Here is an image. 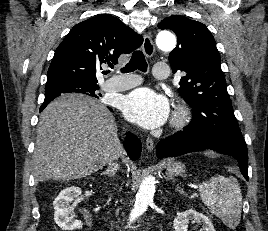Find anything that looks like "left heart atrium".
<instances>
[{
    "label": "left heart atrium",
    "instance_id": "1",
    "mask_svg": "<svg viewBox=\"0 0 268 231\" xmlns=\"http://www.w3.org/2000/svg\"><path fill=\"white\" fill-rule=\"evenodd\" d=\"M122 109L129 121L149 129L163 125L169 115L167 99L150 88H139L126 95Z\"/></svg>",
    "mask_w": 268,
    "mask_h": 231
}]
</instances>
